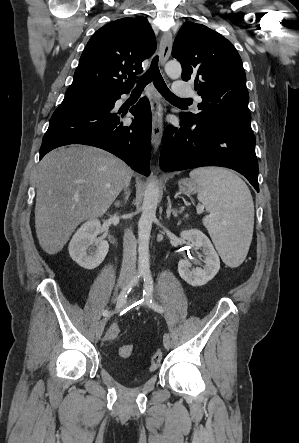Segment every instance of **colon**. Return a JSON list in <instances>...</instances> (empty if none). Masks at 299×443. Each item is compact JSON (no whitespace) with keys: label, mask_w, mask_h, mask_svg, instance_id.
<instances>
[{"label":"colon","mask_w":299,"mask_h":443,"mask_svg":"<svg viewBox=\"0 0 299 443\" xmlns=\"http://www.w3.org/2000/svg\"><path fill=\"white\" fill-rule=\"evenodd\" d=\"M120 334V328L117 324L110 325L104 335L105 340H114L116 339ZM135 350V347L133 344H126L123 345L119 349V355L122 358H128L133 355ZM163 360V354L161 351L157 350L151 357V363H150V369L156 370L159 368Z\"/></svg>","instance_id":"5ec220e1"}]
</instances>
